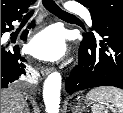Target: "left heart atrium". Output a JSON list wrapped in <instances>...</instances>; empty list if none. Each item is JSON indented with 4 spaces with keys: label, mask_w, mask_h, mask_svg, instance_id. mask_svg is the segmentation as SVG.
<instances>
[{
    "label": "left heart atrium",
    "mask_w": 123,
    "mask_h": 113,
    "mask_svg": "<svg viewBox=\"0 0 123 113\" xmlns=\"http://www.w3.org/2000/svg\"><path fill=\"white\" fill-rule=\"evenodd\" d=\"M28 50L39 59L55 61L65 54L66 43L62 32L51 27L35 35L28 45Z\"/></svg>",
    "instance_id": "obj_1"
}]
</instances>
